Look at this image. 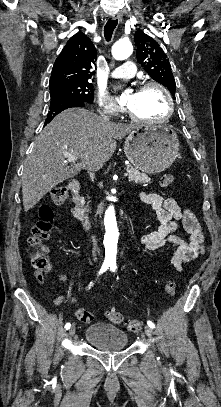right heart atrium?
Segmentation results:
<instances>
[{"label": "right heart atrium", "mask_w": 221, "mask_h": 407, "mask_svg": "<svg viewBox=\"0 0 221 407\" xmlns=\"http://www.w3.org/2000/svg\"><path fill=\"white\" fill-rule=\"evenodd\" d=\"M97 110L100 113L118 115L121 112L120 106L105 92H100L96 98Z\"/></svg>", "instance_id": "1"}]
</instances>
